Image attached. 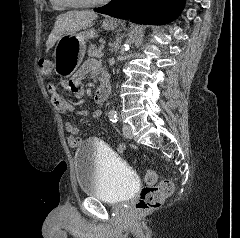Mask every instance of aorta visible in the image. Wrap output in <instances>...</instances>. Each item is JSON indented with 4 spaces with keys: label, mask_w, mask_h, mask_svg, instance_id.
I'll list each match as a JSON object with an SVG mask.
<instances>
[{
    "label": "aorta",
    "mask_w": 240,
    "mask_h": 238,
    "mask_svg": "<svg viewBox=\"0 0 240 238\" xmlns=\"http://www.w3.org/2000/svg\"><path fill=\"white\" fill-rule=\"evenodd\" d=\"M134 33L135 31H132L129 35H128V38L126 39L125 43H124V46H123V49H127L131 46V44L133 43L134 41ZM111 113H114V111H111Z\"/></svg>",
    "instance_id": "762f6f07"
}]
</instances>
